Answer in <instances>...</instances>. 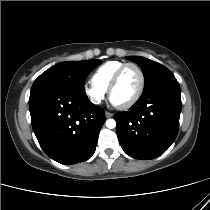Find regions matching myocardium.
Listing matches in <instances>:
<instances>
[{"mask_svg": "<svg viewBox=\"0 0 210 210\" xmlns=\"http://www.w3.org/2000/svg\"><path fill=\"white\" fill-rule=\"evenodd\" d=\"M128 67H134L139 72V75H140L139 89H138L137 93L135 94V96L130 101H128L124 104H115L112 101V92L115 89V87L117 86L123 71ZM145 86H146V76H145V73H144L143 69L136 63L127 62V63H124L123 65H121L117 69V71L115 72V74H114V76H113V78H112V80L109 84V87H108L107 91H108L109 99L113 103V105L115 107H117L118 109L125 110V109L131 108L133 105H135L140 100V98L142 97V95L144 93Z\"/></svg>", "mask_w": 210, "mask_h": 210, "instance_id": "f54148a6", "label": "myocardium"}]
</instances>
